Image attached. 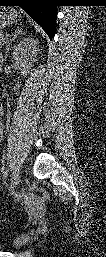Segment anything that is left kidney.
Here are the masks:
<instances>
[{"mask_svg":"<svg viewBox=\"0 0 106 257\" xmlns=\"http://www.w3.org/2000/svg\"><path fill=\"white\" fill-rule=\"evenodd\" d=\"M38 41L26 38L14 48L12 58L22 73H26L35 62Z\"/></svg>","mask_w":106,"mask_h":257,"instance_id":"5707ae66","label":"left kidney"}]
</instances>
